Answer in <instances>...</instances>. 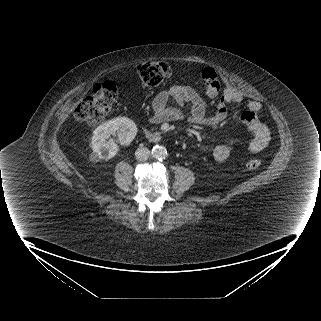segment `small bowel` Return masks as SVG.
Instances as JSON below:
<instances>
[{
  "mask_svg": "<svg viewBox=\"0 0 321 321\" xmlns=\"http://www.w3.org/2000/svg\"><path fill=\"white\" fill-rule=\"evenodd\" d=\"M175 101L179 106H187L190 110V121L194 124L215 126L225 121L229 114V105H237L245 101V96L234 90L228 89L222 99L217 103L212 115L207 114V105L198 92L189 86L174 85L168 90L160 92L153 100L154 113L151 122L162 123L179 121L183 119L180 109L169 107L168 104ZM261 104L250 100L247 108L242 112L240 119L252 133V139L248 145L251 153L262 151L270 141V131L260 120ZM232 150L231 145L221 143L214 147L213 158L216 162L227 159Z\"/></svg>",
  "mask_w": 321,
  "mask_h": 321,
  "instance_id": "obj_1",
  "label": "small bowel"
}]
</instances>
